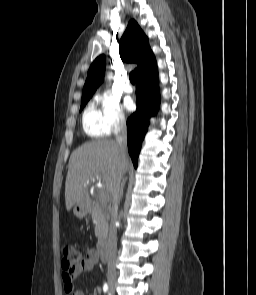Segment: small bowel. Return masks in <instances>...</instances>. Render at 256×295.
I'll return each instance as SVG.
<instances>
[{"label": "small bowel", "mask_w": 256, "mask_h": 295, "mask_svg": "<svg viewBox=\"0 0 256 295\" xmlns=\"http://www.w3.org/2000/svg\"><path fill=\"white\" fill-rule=\"evenodd\" d=\"M98 254L95 249H89L86 256L81 258L79 264L71 271H64L62 279L64 283V290L67 295H84V293L75 288V279L83 272L91 271L98 263Z\"/></svg>", "instance_id": "1"}]
</instances>
